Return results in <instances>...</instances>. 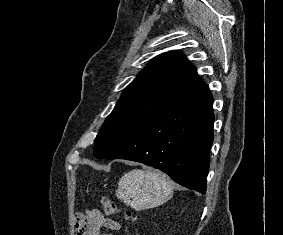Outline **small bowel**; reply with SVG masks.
<instances>
[{"label": "small bowel", "instance_id": "small-bowel-1", "mask_svg": "<svg viewBox=\"0 0 283 235\" xmlns=\"http://www.w3.org/2000/svg\"><path fill=\"white\" fill-rule=\"evenodd\" d=\"M77 235H100V229L119 231L121 224L113 219L106 218L100 211L93 209L86 213H77L75 216ZM105 235H112L110 233Z\"/></svg>", "mask_w": 283, "mask_h": 235}]
</instances>
